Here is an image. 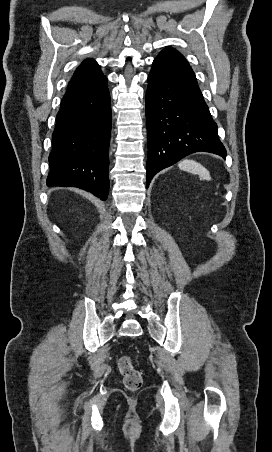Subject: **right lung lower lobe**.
<instances>
[{
  "label": "right lung lower lobe",
  "mask_w": 272,
  "mask_h": 452,
  "mask_svg": "<svg viewBox=\"0 0 272 452\" xmlns=\"http://www.w3.org/2000/svg\"><path fill=\"white\" fill-rule=\"evenodd\" d=\"M56 119L47 186L78 187L106 200L111 132L107 78L68 88Z\"/></svg>",
  "instance_id": "98d812e1"
}]
</instances>
